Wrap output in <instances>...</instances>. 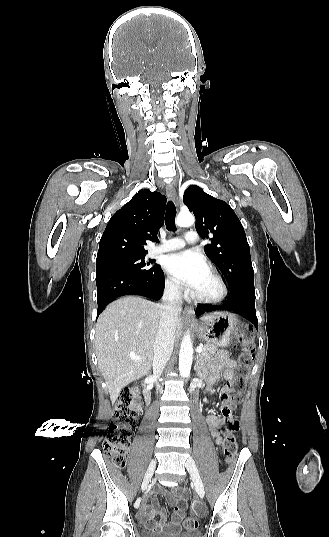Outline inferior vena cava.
<instances>
[{"label": "inferior vena cava", "mask_w": 329, "mask_h": 537, "mask_svg": "<svg viewBox=\"0 0 329 537\" xmlns=\"http://www.w3.org/2000/svg\"><path fill=\"white\" fill-rule=\"evenodd\" d=\"M163 305L157 335L154 342L153 375L159 378L169 361L179 312L182 309V292L179 285L168 286L163 294ZM157 391L160 385H156Z\"/></svg>", "instance_id": "obj_1"}]
</instances>
